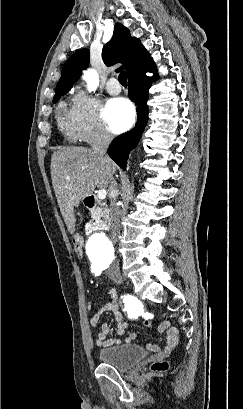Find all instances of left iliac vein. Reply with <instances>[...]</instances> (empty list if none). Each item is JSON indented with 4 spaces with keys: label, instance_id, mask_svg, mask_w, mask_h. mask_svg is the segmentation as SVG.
Segmentation results:
<instances>
[{
    "label": "left iliac vein",
    "instance_id": "left-iliac-vein-1",
    "mask_svg": "<svg viewBox=\"0 0 243 409\" xmlns=\"http://www.w3.org/2000/svg\"><path fill=\"white\" fill-rule=\"evenodd\" d=\"M111 279L117 284L122 283V278L119 275L112 274Z\"/></svg>",
    "mask_w": 243,
    "mask_h": 409
}]
</instances>
